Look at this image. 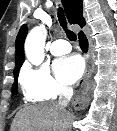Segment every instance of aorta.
I'll list each match as a JSON object with an SVG mask.
<instances>
[{"instance_id":"aorta-1","label":"aorta","mask_w":117,"mask_h":131,"mask_svg":"<svg viewBox=\"0 0 117 131\" xmlns=\"http://www.w3.org/2000/svg\"><path fill=\"white\" fill-rule=\"evenodd\" d=\"M46 31L44 26L34 27L25 40V55L33 65H40L44 61V46Z\"/></svg>"}]
</instances>
